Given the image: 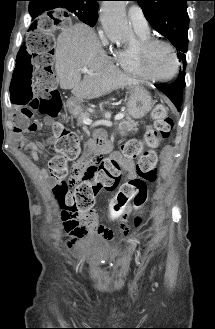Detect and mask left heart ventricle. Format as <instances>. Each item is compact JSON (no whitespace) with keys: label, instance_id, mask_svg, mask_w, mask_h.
Masks as SVG:
<instances>
[{"label":"left heart ventricle","instance_id":"obj_1","mask_svg":"<svg viewBox=\"0 0 215 329\" xmlns=\"http://www.w3.org/2000/svg\"><path fill=\"white\" fill-rule=\"evenodd\" d=\"M175 67V61L170 49L164 45L155 46L150 52L147 69L156 77L169 76Z\"/></svg>","mask_w":215,"mask_h":329}]
</instances>
